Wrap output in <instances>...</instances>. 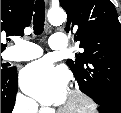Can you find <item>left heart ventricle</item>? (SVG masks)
Segmentation results:
<instances>
[{
    "label": "left heart ventricle",
    "instance_id": "b2bd125f",
    "mask_svg": "<svg viewBox=\"0 0 121 113\" xmlns=\"http://www.w3.org/2000/svg\"><path fill=\"white\" fill-rule=\"evenodd\" d=\"M77 104V101L72 98L69 94L66 95L64 101L62 102L63 107H70Z\"/></svg>",
    "mask_w": 121,
    "mask_h": 113
}]
</instances>
